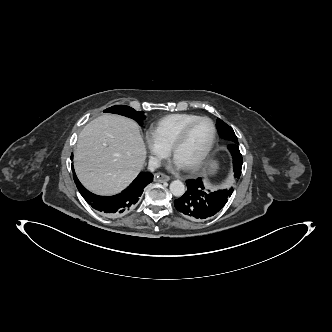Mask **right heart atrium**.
Returning <instances> with one entry per match:
<instances>
[{"label":"right heart atrium","instance_id":"1","mask_svg":"<svg viewBox=\"0 0 332 332\" xmlns=\"http://www.w3.org/2000/svg\"><path fill=\"white\" fill-rule=\"evenodd\" d=\"M145 144L149 154V160L152 164H157L169 153V149L165 147L151 131H148L145 135Z\"/></svg>","mask_w":332,"mask_h":332}]
</instances>
